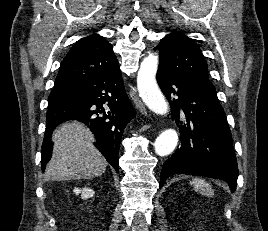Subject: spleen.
<instances>
[{"mask_svg": "<svg viewBox=\"0 0 268 231\" xmlns=\"http://www.w3.org/2000/svg\"><path fill=\"white\" fill-rule=\"evenodd\" d=\"M191 185L194 186V189L198 192H200L203 195L206 196H213L214 191L211 188V185L207 182H205L203 179L200 178H194L191 182Z\"/></svg>", "mask_w": 268, "mask_h": 231, "instance_id": "1", "label": "spleen"}]
</instances>
